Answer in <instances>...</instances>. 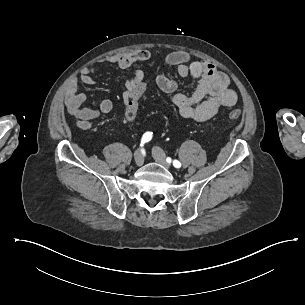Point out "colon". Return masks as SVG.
Here are the masks:
<instances>
[{"mask_svg": "<svg viewBox=\"0 0 305 305\" xmlns=\"http://www.w3.org/2000/svg\"><path fill=\"white\" fill-rule=\"evenodd\" d=\"M143 93H144V87L143 85H137L135 89H133L130 93V95L126 98V117L129 121H133L135 119V113L138 101H141L143 99ZM241 110H233L229 112L228 117L230 119H236L240 117Z\"/></svg>", "mask_w": 305, "mask_h": 305, "instance_id": "obj_1", "label": "colon"}]
</instances>
